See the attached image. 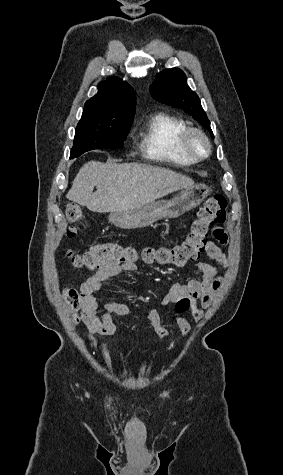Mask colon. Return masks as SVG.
I'll return each mask as SVG.
<instances>
[{
	"instance_id": "5ec220e1",
	"label": "colon",
	"mask_w": 283,
	"mask_h": 475,
	"mask_svg": "<svg viewBox=\"0 0 283 475\" xmlns=\"http://www.w3.org/2000/svg\"><path fill=\"white\" fill-rule=\"evenodd\" d=\"M83 218L84 214L77 205L72 204L67 207L66 219L69 222L67 229L69 235L77 233V228L74 225L81 222ZM225 220L226 198L223 194H217L209 197L199 208L186 238L172 247L144 248L138 251L132 246L97 244L81 254L76 253L73 249H67L65 257L81 268H100L110 264L132 267L138 260L148 264H173L180 267L187 262L199 259L200 254L206 248V239L210 228ZM69 298L73 306L82 304V299L77 297L75 290L68 292ZM189 303V298H182L179 304L173 307V312L181 314L185 310L184 308L189 306ZM72 311L76 312L77 308L73 307Z\"/></svg>"
}]
</instances>
